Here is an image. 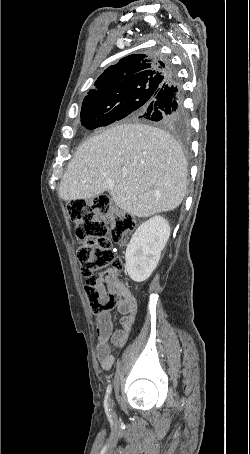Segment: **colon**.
Here are the masks:
<instances>
[{
	"instance_id": "1",
	"label": "colon",
	"mask_w": 250,
	"mask_h": 454,
	"mask_svg": "<svg viewBox=\"0 0 250 454\" xmlns=\"http://www.w3.org/2000/svg\"><path fill=\"white\" fill-rule=\"evenodd\" d=\"M67 212L76 225L77 257L86 278L85 291L91 310L102 314L115 308L120 296L118 276L121 258L112 251V243H122L135 228L133 217L116 209L109 196L68 203Z\"/></svg>"
}]
</instances>
